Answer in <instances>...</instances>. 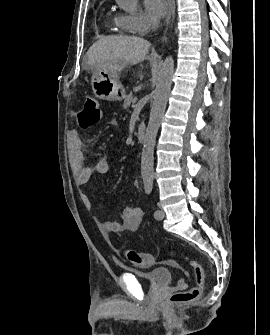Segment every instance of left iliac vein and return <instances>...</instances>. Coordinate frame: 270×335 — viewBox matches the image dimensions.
Instances as JSON below:
<instances>
[{"label":"left iliac vein","mask_w":270,"mask_h":335,"mask_svg":"<svg viewBox=\"0 0 270 335\" xmlns=\"http://www.w3.org/2000/svg\"><path fill=\"white\" fill-rule=\"evenodd\" d=\"M164 217H165V212H164V210L160 207V208H159V215H158V217H156V219H158V220H162Z\"/></svg>","instance_id":"obj_1"}]
</instances>
